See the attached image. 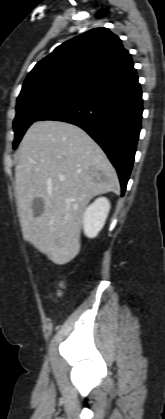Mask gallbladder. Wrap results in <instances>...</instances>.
I'll list each match as a JSON object with an SVG mask.
<instances>
[{"label":"gallbladder","instance_id":"gallbladder-1","mask_svg":"<svg viewBox=\"0 0 165 419\" xmlns=\"http://www.w3.org/2000/svg\"><path fill=\"white\" fill-rule=\"evenodd\" d=\"M32 211L35 217L40 216L44 211V202L40 198H36L32 201Z\"/></svg>","mask_w":165,"mask_h":419}]
</instances>
